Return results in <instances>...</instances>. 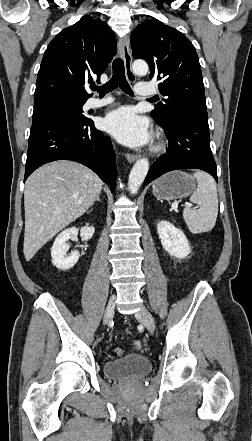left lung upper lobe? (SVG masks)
I'll return each mask as SVG.
<instances>
[{"mask_svg": "<svg viewBox=\"0 0 252 441\" xmlns=\"http://www.w3.org/2000/svg\"><path fill=\"white\" fill-rule=\"evenodd\" d=\"M133 57L150 66V79L159 81L166 98L151 111L153 119L168 125L178 114L195 111L207 116L204 84L193 44L178 30L156 18L143 21L131 34Z\"/></svg>", "mask_w": 252, "mask_h": 441, "instance_id": "left-lung-upper-lobe-1", "label": "left lung upper lobe"}]
</instances>
